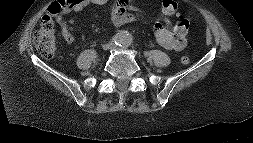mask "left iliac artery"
Listing matches in <instances>:
<instances>
[{"instance_id": "obj_1", "label": "left iliac artery", "mask_w": 253, "mask_h": 143, "mask_svg": "<svg viewBox=\"0 0 253 143\" xmlns=\"http://www.w3.org/2000/svg\"><path fill=\"white\" fill-rule=\"evenodd\" d=\"M131 43H132V38H131V36H128L126 39H125V41H124V43L122 44L123 46H129V45H131ZM121 45V46H122Z\"/></svg>"}]
</instances>
